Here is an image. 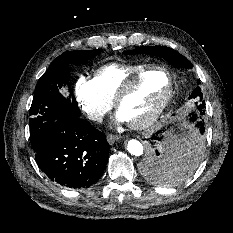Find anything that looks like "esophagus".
I'll use <instances>...</instances> for the list:
<instances>
[{
	"mask_svg": "<svg viewBox=\"0 0 233 233\" xmlns=\"http://www.w3.org/2000/svg\"><path fill=\"white\" fill-rule=\"evenodd\" d=\"M118 139H119V137L117 135H114V134L107 135V141L110 145H112Z\"/></svg>",
	"mask_w": 233,
	"mask_h": 233,
	"instance_id": "esophagus-1",
	"label": "esophagus"
}]
</instances>
